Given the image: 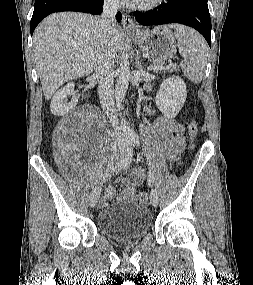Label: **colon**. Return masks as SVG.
<instances>
[{
	"label": "colon",
	"instance_id": "obj_1",
	"mask_svg": "<svg viewBox=\"0 0 253 285\" xmlns=\"http://www.w3.org/2000/svg\"><path fill=\"white\" fill-rule=\"evenodd\" d=\"M188 133L191 141H193L197 134V125L195 122L190 123ZM191 147H193V144H191ZM138 200L140 203L146 204L148 202V195L145 192H141L138 196Z\"/></svg>",
	"mask_w": 253,
	"mask_h": 285
}]
</instances>
